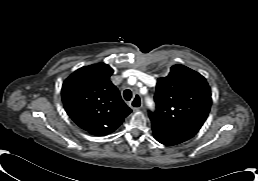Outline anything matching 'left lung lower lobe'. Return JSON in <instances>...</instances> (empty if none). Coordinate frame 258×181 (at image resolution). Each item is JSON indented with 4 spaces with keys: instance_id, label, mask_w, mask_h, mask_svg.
<instances>
[{
    "instance_id": "0a47b994",
    "label": "left lung lower lobe",
    "mask_w": 258,
    "mask_h": 181,
    "mask_svg": "<svg viewBox=\"0 0 258 181\" xmlns=\"http://www.w3.org/2000/svg\"><path fill=\"white\" fill-rule=\"evenodd\" d=\"M152 130H153L154 138L158 142L165 145H176L189 139L187 137L174 134L156 127H152Z\"/></svg>"
}]
</instances>
